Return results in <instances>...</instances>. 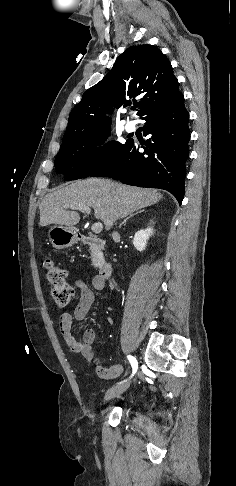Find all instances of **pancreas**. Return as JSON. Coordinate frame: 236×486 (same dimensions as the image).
Wrapping results in <instances>:
<instances>
[{"mask_svg": "<svg viewBox=\"0 0 236 486\" xmlns=\"http://www.w3.org/2000/svg\"><path fill=\"white\" fill-rule=\"evenodd\" d=\"M92 264L95 267H100L102 264V256L100 254H92Z\"/></svg>", "mask_w": 236, "mask_h": 486, "instance_id": "1", "label": "pancreas"}]
</instances>
